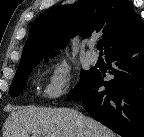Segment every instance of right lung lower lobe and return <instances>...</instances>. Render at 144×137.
Segmentation results:
<instances>
[{
  "instance_id": "obj_1",
  "label": "right lung lower lobe",
  "mask_w": 144,
  "mask_h": 137,
  "mask_svg": "<svg viewBox=\"0 0 144 137\" xmlns=\"http://www.w3.org/2000/svg\"><path fill=\"white\" fill-rule=\"evenodd\" d=\"M114 75L94 70L91 80L75 99L97 121L123 137H144V36L105 54ZM113 64V66L111 65ZM103 87V90H98Z\"/></svg>"
}]
</instances>
